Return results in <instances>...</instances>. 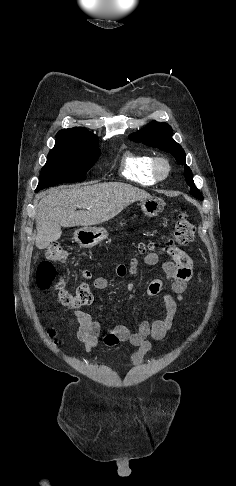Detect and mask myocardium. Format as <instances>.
I'll return each instance as SVG.
<instances>
[{"label": "myocardium", "instance_id": "myocardium-1", "mask_svg": "<svg viewBox=\"0 0 236 486\" xmlns=\"http://www.w3.org/2000/svg\"><path fill=\"white\" fill-rule=\"evenodd\" d=\"M151 172L157 181L166 179L171 172V166L169 161L164 157L153 158L151 164Z\"/></svg>", "mask_w": 236, "mask_h": 486}]
</instances>
